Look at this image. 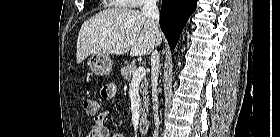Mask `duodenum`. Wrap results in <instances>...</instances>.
<instances>
[{
  "label": "duodenum",
  "mask_w": 280,
  "mask_h": 137,
  "mask_svg": "<svg viewBox=\"0 0 280 137\" xmlns=\"http://www.w3.org/2000/svg\"><path fill=\"white\" fill-rule=\"evenodd\" d=\"M149 129H150V120L149 119H143L140 121V124H139V130L146 134L149 132Z\"/></svg>",
  "instance_id": "410a0bca"
}]
</instances>
